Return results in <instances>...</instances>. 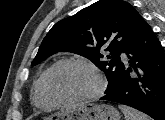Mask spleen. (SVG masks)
Wrapping results in <instances>:
<instances>
[{
	"instance_id": "spleen-1",
	"label": "spleen",
	"mask_w": 165,
	"mask_h": 120,
	"mask_svg": "<svg viewBox=\"0 0 165 120\" xmlns=\"http://www.w3.org/2000/svg\"><path fill=\"white\" fill-rule=\"evenodd\" d=\"M119 108L123 112L125 120H150L147 115L136 111L128 106L119 105Z\"/></svg>"
}]
</instances>
